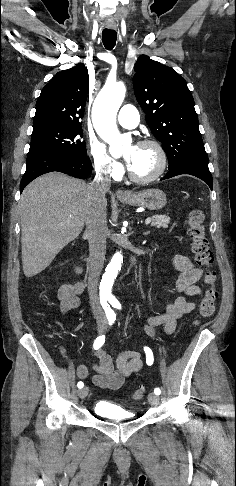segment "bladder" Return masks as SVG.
<instances>
[{"instance_id": "obj_1", "label": "bladder", "mask_w": 236, "mask_h": 486, "mask_svg": "<svg viewBox=\"0 0 236 486\" xmlns=\"http://www.w3.org/2000/svg\"><path fill=\"white\" fill-rule=\"evenodd\" d=\"M94 412L99 417L115 421H129L135 416L132 412L107 401L97 402L94 406Z\"/></svg>"}]
</instances>
